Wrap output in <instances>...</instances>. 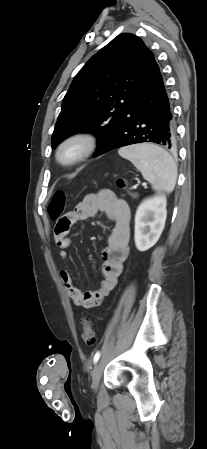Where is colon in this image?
Returning <instances> with one entry per match:
<instances>
[{"label": "colon", "mask_w": 207, "mask_h": 449, "mask_svg": "<svg viewBox=\"0 0 207 449\" xmlns=\"http://www.w3.org/2000/svg\"><path fill=\"white\" fill-rule=\"evenodd\" d=\"M117 185L120 188H126L128 183L125 179L120 178L117 181ZM133 195L136 196L135 193H133ZM66 201L67 198L64 191L58 190L54 192L52 199L48 205V215L52 221L57 223L63 217L62 215L66 207ZM55 230L57 232L59 231L57 227H55ZM82 324H83L82 338L84 342L88 345H93L96 341V338L91 321L89 319H84Z\"/></svg>", "instance_id": "obj_1"}]
</instances>
